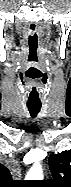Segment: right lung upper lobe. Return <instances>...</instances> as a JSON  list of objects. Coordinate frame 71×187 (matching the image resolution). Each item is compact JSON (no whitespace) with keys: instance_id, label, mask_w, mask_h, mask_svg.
I'll return each mask as SVG.
<instances>
[{"instance_id":"right-lung-upper-lobe-1","label":"right lung upper lobe","mask_w":71,"mask_h":187,"mask_svg":"<svg viewBox=\"0 0 71 187\" xmlns=\"http://www.w3.org/2000/svg\"><path fill=\"white\" fill-rule=\"evenodd\" d=\"M0 171L1 175L3 176V179L9 180L11 178V174L6 167L2 166Z\"/></svg>"}]
</instances>
